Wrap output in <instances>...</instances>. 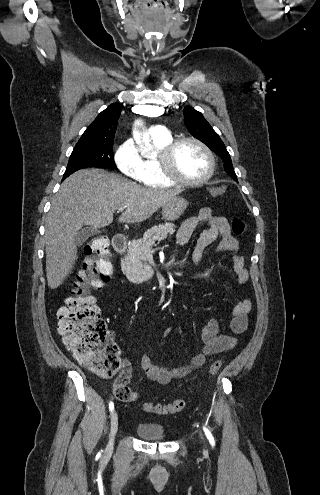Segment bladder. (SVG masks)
Returning <instances> with one entry per match:
<instances>
[{
	"mask_svg": "<svg viewBox=\"0 0 320 495\" xmlns=\"http://www.w3.org/2000/svg\"><path fill=\"white\" fill-rule=\"evenodd\" d=\"M136 433L145 440H162L165 438L164 427L159 423L144 422L136 426Z\"/></svg>",
	"mask_w": 320,
	"mask_h": 495,
	"instance_id": "31cf9c89",
	"label": "bladder"
}]
</instances>
